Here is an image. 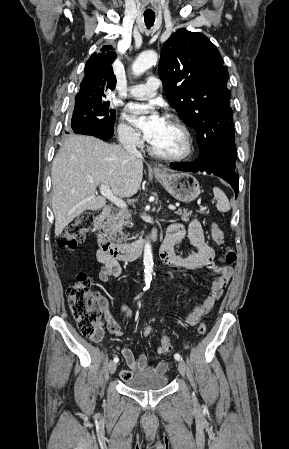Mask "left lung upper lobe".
I'll list each match as a JSON object with an SVG mask.
<instances>
[{
    "mask_svg": "<svg viewBox=\"0 0 289 449\" xmlns=\"http://www.w3.org/2000/svg\"><path fill=\"white\" fill-rule=\"evenodd\" d=\"M203 34L180 29L164 43L158 65L166 98L197 132L199 159L223 166L236 162L228 70Z\"/></svg>",
    "mask_w": 289,
    "mask_h": 449,
    "instance_id": "5c2ea615",
    "label": "left lung upper lobe"
}]
</instances>
